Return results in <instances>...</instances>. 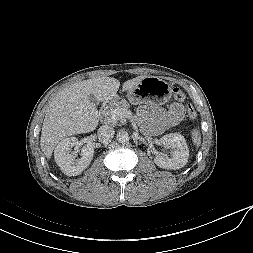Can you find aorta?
Wrapping results in <instances>:
<instances>
[{"label":"aorta","instance_id":"obj_1","mask_svg":"<svg viewBox=\"0 0 253 253\" xmlns=\"http://www.w3.org/2000/svg\"><path fill=\"white\" fill-rule=\"evenodd\" d=\"M116 138L119 143H126L129 141V134L126 131L121 130L117 133Z\"/></svg>","mask_w":253,"mask_h":253}]
</instances>
